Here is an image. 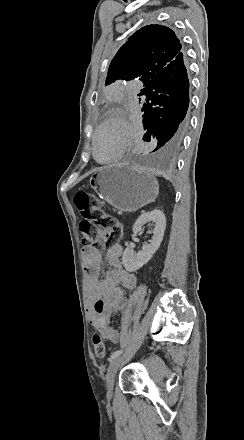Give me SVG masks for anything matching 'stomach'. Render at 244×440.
<instances>
[{
	"mask_svg": "<svg viewBox=\"0 0 244 440\" xmlns=\"http://www.w3.org/2000/svg\"><path fill=\"white\" fill-rule=\"evenodd\" d=\"M89 186L120 212H135L154 202L159 194V184L151 172L123 164L99 168L90 176Z\"/></svg>",
	"mask_w": 244,
	"mask_h": 440,
	"instance_id": "1",
	"label": "stomach"
}]
</instances>
